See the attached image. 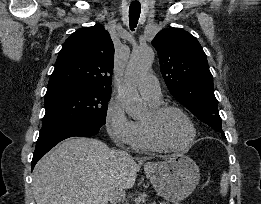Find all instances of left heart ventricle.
<instances>
[{
    "mask_svg": "<svg viewBox=\"0 0 261 204\" xmlns=\"http://www.w3.org/2000/svg\"><path fill=\"white\" fill-rule=\"evenodd\" d=\"M160 131L164 139L175 146L184 145L192 134L186 119L177 112H169L162 118Z\"/></svg>",
    "mask_w": 261,
    "mask_h": 204,
    "instance_id": "left-heart-ventricle-1",
    "label": "left heart ventricle"
}]
</instances>
